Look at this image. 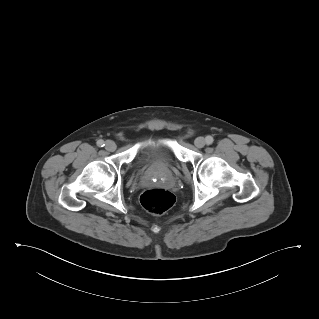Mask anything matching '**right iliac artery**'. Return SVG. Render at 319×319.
Returning a JSON list of instances; mask_svg holds the SVG:
<instances>
[{
	"instance_id": "1",
	"label": "right iliac artery",
	"mask_w": 319,
	"mask_h": 319,
	"mask_svg": "<svg viewBox=\"0 0 319 319\" xmlns=\"http://www.w3.org/2000/svg\"><path fill=\"white\" fill-rule=\"evenodd\" d=\"M97 145H98L99 147H103V146H105V143H104L103 140H98V141H97Z\"/></svg>"
}]
</instances>
